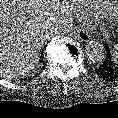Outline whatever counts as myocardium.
Listing matches in <instances>:
<instances>
[{
    "label": "myocardium",
    "mask_w": 118,
    "mask_h": 118,
    "mask_svg": "<svg viewBox=\"0 0 118 118\" xmlns=\"http://www.w3.org/2000/svg\"><path fill=\"white\" fill-rule=\"evenodd\" d=\"M117 19H118V4H117Z\"/></svg>",
    "instance_id": "1"
}]
</instances>
